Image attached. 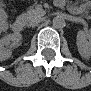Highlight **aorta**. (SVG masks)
Instances as JSON below:
<instances>
[{"instance_id": "obj_1", "label": "aorta", "mask_w": 91, "mask_h": 91, "mask_svg": "<svg viewBox=\"0 0 91 91\" xmlns=\"http://www.w3.org/2000/svg\"><path fill=\"white\" fill-rule=\"evenodd\" d=\"M65 25V20L62 16H56L53 19V26L55 28H62Z\"/></svg>"}]
</instances>
